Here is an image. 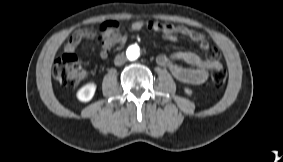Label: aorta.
<instances>
[{
	"label": "aorta",
	"instance_id": "1",
	"mask_svg": "<svg viewBox=\"0 0 283 162\" xmlns=\"http://www.w3.org/2000/svg\"><path fill=\"white\" fill-rule=\"evenodd\" d=\"M139 47L138 46H130L128 49H127V56L130 60H135L139 57Z\"/></svg>",
	"mask_w": 283,
	"mask_h": 162
}]
</instances>
